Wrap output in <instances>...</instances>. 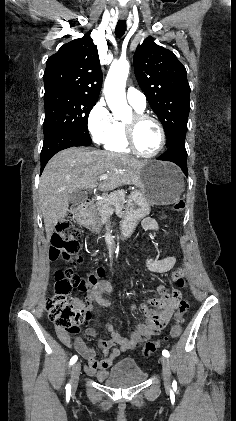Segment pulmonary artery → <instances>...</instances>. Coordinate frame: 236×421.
I'll return each mask as SVG.
<instances>
[{
    "label": "pulmonary artery",
    "instance_id": "obj_1",
    "mask_svg": "<svg viewBox=\"0 0 236 421\" xmlns=\"http://www.w3.org/2000/svg\"><path fill=\"white\" fill-rule=\"evenodd\" d=\"M127 100L134 108L138 110H144L146 108L147 103L145 96L134 88L128 89Z\"/></svg>",
    "mask_w": 236,
    "mask_h": 421
}]
</instances>
